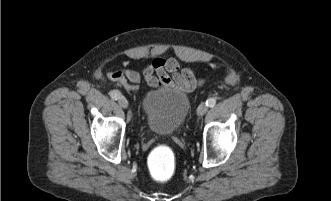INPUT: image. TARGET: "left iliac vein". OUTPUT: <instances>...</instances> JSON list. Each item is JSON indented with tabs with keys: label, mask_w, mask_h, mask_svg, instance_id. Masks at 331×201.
Segmentation results:
<instances>
[{
	"label": "left iliac vein",
	"mask_w": 331,
	"mask_h": 201,
	"mask_svg": "<svg viewBox=\"0 0 331 201\" xmlns=\"http://www.w3.org/2000/svg\"><path fill=\"white\" fill-rule=\"evenodd\" d=\"M208 110V106L205 103H201L197 108L198 116H203Z\"/></svg>",
	"instance_id": "left-iliac-vein-1"
}]
</instances>
